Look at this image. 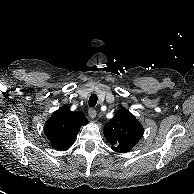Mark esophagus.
<instances>
[{
  "label": "esophagus",
  "instance_id": "34e87169",
  "mask_svg": "<svg viewBox=\"0 0 194 194\" xmlns=\"http://www.w3.org/2000/svg\"><path fill=\"white\" fill-rule=\"evenodd\" d=\"M96 110L93 109V108H90L89 111H88V115L91 119H94L96 117Z\"/></svg>",
  "mask_w": 194,
  "mask_h": 194
}]
</instances>
